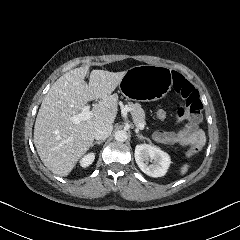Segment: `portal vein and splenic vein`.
<instances>
[{
    "label": "portal vein and splenic vein",
    "instance_id": "18ae733b",
    "mask_svg": "<svg viewBox=\"0 0 240 240\" xmlns=\"http://www.w3.org/2000/svg\"><path fill=\"white\" fill-rule=\"evenodd\" d=\"M92 117L93 113L90 111V106L85 105L79 114L69 117V120L74 124H78L81 121L92 119ZM137 126L140 131H143L145 129V126L141 122H138Z\"/></svg>",
    "mask_w": 240,
    "mask_h": 240
}]
</instances>
